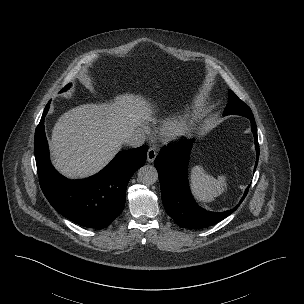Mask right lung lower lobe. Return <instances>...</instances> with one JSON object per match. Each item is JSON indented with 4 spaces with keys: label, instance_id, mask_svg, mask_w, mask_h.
I'll return each mask as SVG.
<instances>
[{
    "label": "right lung lower lobe",
    "instance_id": "obj_1",
    "mask_svg": "<svg viewBox=\"0 0 304 304\" xmlns=\"http://www.w3.org/2000/svg\"><path fill=\"white\" fill-rule=\"evenodd\" d=\"M49 104L36 128L34 140L41 189L64 217L83 227L105 228L122 212L128 182L145 164L148 147L121 151L98 174L83 180H69L60 175L49 160L44 130Z\"/></svg>",
    "mask_w": 304,
    "mask_h": 304
}]
</instances>
